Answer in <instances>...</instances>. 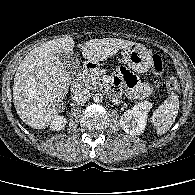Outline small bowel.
<instances>
[{
	"label": "small bowel",
	"instance_id": "small-bowel-1",
	"mask_svg": "<svg viewBox=\"0 0 195 195\" xmlns=\"http://www.w3.org/2000/svg\"><path fill=\"white\" fill-rule=\"evenodd\" d=\"M120 83H124L127 92L132 97H142L149 94L152 87L148 84H140L135 75L125 68H120L114 89L117 90Z\"/></svg>",
	"mask_w": 195,
	"mask_h": 195
}]
</instances>
